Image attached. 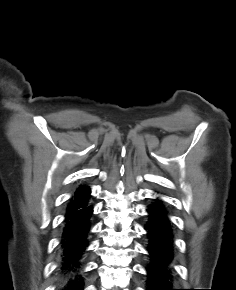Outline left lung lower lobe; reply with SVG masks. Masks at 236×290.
Here are the masks:
<instances>
[{"label": "left lung lower lobe", "mask_w": 236, "mask_h": 290, "mask_svg": "<svg viewBox=\"0 0 236 290\" xmlns=\"http://www.w3.org/2000/svg\"><path fill=\"white\" fill-rule=\"evenodd\" d=\"M149 219L145 226L148 236L147 250L150 263L147 267V290H175L172 289L171 271L172 261V230L167 218V211L157 199L148 206Z\"/></svg>", "instance_id": "left-lung-lower-lobe-1"}]
</instances>
